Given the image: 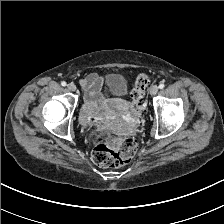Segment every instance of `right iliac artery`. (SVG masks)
I'll list each match as a JSON object with an SVG mask.
<instances>
[{
  "label": "right iliac artery",
  "mask_w": 224,
  "mask_h": 224,
  "mask_svg": "<svg viewBox=\"0 0 224 224\" xmlns=\"http://www.w3.org/2000/svg\"><path fill=\"white\" fill-rule=\"evenodd\" d=\"M61 85H62V86H66V82H65V81H62V82H61Z\"/></svg>",
  "instance_id": "1"
}]
</instances>
